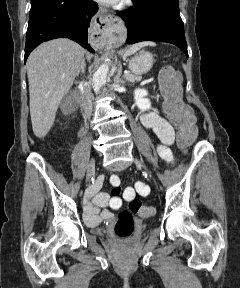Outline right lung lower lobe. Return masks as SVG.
<instances>
[{"label":"right lung lower lobe","instance_id":"right-lung-lower-lobe-1","mask_svg":"<svg viewBox=\"0 0 240 288\" xmlns=\"http://www.w3.org/2000/svg\"><path fill=\"white\" fill-rule=\"evenodd\" d=\"M97 10L98 5L92 0H36L31 3L24 61L40 43L60 37L72 39L94 52L87 40L88 26Z\"/></svg>","mask_w":240,"mask_h":288}]
</instances>
